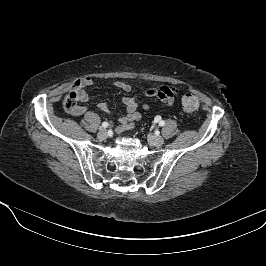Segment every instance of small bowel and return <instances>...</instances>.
<instances>
[{"label":"small bowel","mask_w":266,"mask_h":266,"mask_svg":"<svg viewBox=\"0 0 266 266\" xmlns=\"http://www.w3.org/2000/svg\"><path fill=\"white\" fill-rule=\"evenodd\" d=\"M92 85L93 80L89 77L82 78L75 83L74 90L78 92L79 102L88 101L89 97L85 89ZM113 85L124 92L131 91V85L126 82L116 81ZM145 94L150 97H157L166 105L172 106L176 103L178 90L169 85H160L147 89ZM123 103L126 106V115L119 118L120 125L116 128L118 132L131 128L135 122L141 119V114L137 111L138 101L135 97H125ZM98 108L103 112L109 111L108 105L104 102L99 103ZM143 108L147 110L149 107L145 104ZM86 111V106L78 105L72 114L80 116Z\"/></svg>","instance_id":"obj_1"}]
</instances>
